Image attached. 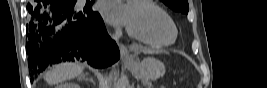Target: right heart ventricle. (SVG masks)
<instances>
[{
  "mask_svg": "<svg viewBox=\"0 0 267 88\" xmlns=\"http://www.w3.org/2000/svg\"><path fill=\"white\" fill-rule=\"evenodd\" d=\"M147 2H149V3H151L153 6H155V7H158L156 4H154L153 2H151V1H147Z\"/></svg>",
  "mask_w": 267,
  "mask_h": 88,
  "instance_id": "obj_1",
  "label": "right heart ventricle"
}]
</instances>
